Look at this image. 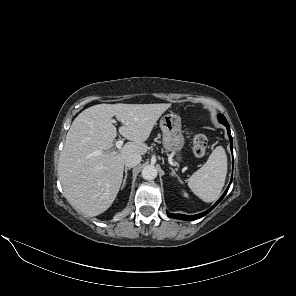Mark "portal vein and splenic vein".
I'll return each instance as SVG.
<instances>
[{"mask_svg": "<svg viewBox=\"0 0 296 296\" xmlns=\"http://www.w3.org/2000/svg\"><path fill=\"white\" fill-rule=\"evenodd\" d=\"M123 143H124L123 140H122V139H119V140L116 142V147H117L118 149H121Z\"/></svg>", "mask_w": 296, "mask_h": 296, "instance_id": "1", "label": "portal vein and splenic vein"}]
</instances>
